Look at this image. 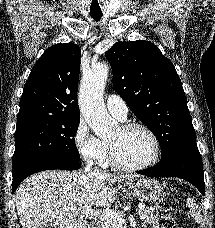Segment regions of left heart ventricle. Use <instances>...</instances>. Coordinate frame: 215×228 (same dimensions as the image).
I'll list each match as a JSON object with an SVG mask.
<instances>
[{
  "label": "left heart ventricle",
  "mask_w": 215,
  "mask_h": 228,
  "mask_svg": "<svg viewBox=\"0 0 215 228\" xmlns=\"http://www.w3.org/2000/svg\"><path fill=\"white\" fill-rule=\"evenodd\" d=\"M108 141L113 145L118 160L125 165L141 164L152 152L151 139L140 128L123 130L119 127Z\"/></svg>",
  "instance_id": "left-heart-ventricle-1"
}]
</instances>
